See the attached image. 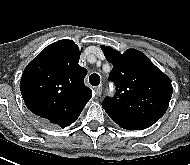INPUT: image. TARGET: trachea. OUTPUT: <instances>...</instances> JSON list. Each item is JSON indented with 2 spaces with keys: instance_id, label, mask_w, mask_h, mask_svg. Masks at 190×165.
Listing matches in <instances>:
<instances>
[{
  "instance_id": "obj_1",
  "label": "trachea",
  "mask_w": 190,
  "mask_h": 165,
  "mask_svg": "<svg viewBox=\"0 0 190 165\" xmlns=\"http://www.w3.org/2000/svg\"><path fill=\"white\" fill-rule=\"evenodd\" d=\"M89 82L92 86H97L100 83V76L96 73H93L89 77Z\"/></svg>"
}]
</instances>
